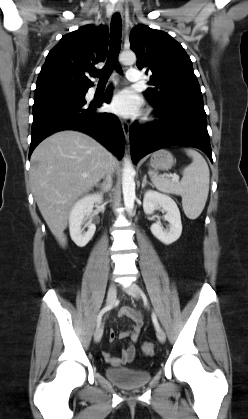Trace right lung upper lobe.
I'll return each instance as SVG.
<instances>
[{
    "mask_svg": "<svg viewBox=\"0 0 248 419\" xmlns=\"http://www.w3.org/2000/svg\"><path fill=\"white\" fill-rule=\"evenodd\" d=\"M108 39L105 26L86 25L64 35L47 55L34 97L88 90L93 82L87 75L97 72L95 64L106 59Z\"/></svg>",
    "mask_w": 248,
    "mask_h": 419,
    "instance_id": "right-lung-upper-lobe-1",
    "label": "right lung upper lobe"
}]
</instances>
